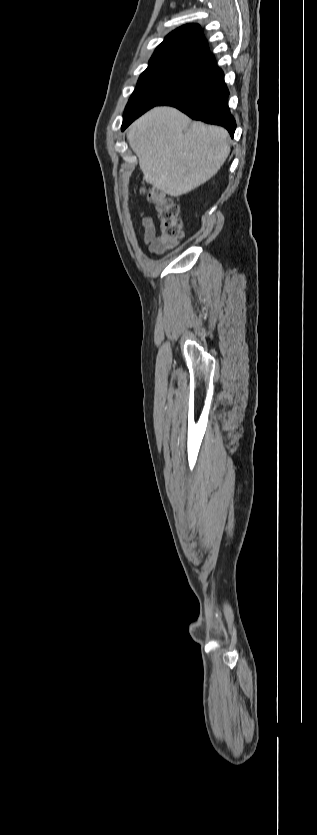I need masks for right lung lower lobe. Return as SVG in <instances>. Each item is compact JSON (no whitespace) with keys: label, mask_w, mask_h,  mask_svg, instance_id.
Instances as JSON below:
<instances>
[{"label":"right lung lower lobe","mask_w":317,"mask_h":835,"mask_svg":"<svg viewBox=\"0 0 317 835\" xmlns=\"http://www.w3.org/2000/svg\"><path fill=\"white\" fill-rule=\"evenodd\" d=\"M190 60L197 71L206 77V81L170 97L160 105L174 106L194 120L222 126L233 137L236 122L228 107L229 91L223 71L217 67L214 56L209 53Z\"/></svg>","instance_id":"1"}]
</instances>
